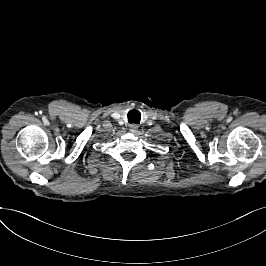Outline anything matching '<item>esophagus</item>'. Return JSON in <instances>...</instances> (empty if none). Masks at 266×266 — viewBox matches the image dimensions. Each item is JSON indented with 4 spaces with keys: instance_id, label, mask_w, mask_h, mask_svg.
<instances>
[{
    "instance_id": "esophagus-1",
    "label": "esophagus",
    "mask_w": 266,
    "mask_h": 266,
    "mask_svg": "<svg viewBox=\"0 0 266 266\" xmlns=\"http://www.w3.org/2000/svg\"><path fill=\"white\" fill-rule=\"evenodd\" d=\"M138 130V126L137 125H131L130 126V131L131 132H135V131H137Z\"/></svg>"
}]
</instances>
